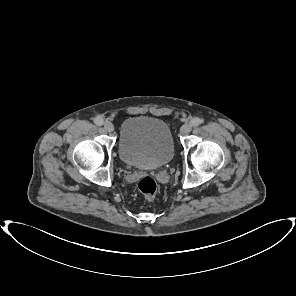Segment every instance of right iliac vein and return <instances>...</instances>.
Returning <instances> with one entry per match:
<instances>
[{
  "instance_id": "63e3f726",
  "label": "right iliac vein",
  "mask_w": 296,
  "mask_h": 296,
  "mask_svg": "<svg viewBox=\"0 0 296 296\" xmlns=\"http://www.w3.org/2000/svg\"><path fill=\"white\" fill-rule=\"evenodd\" d=\"M104 128H105V130L108 131V132H112V131L114 130V126H113V124H112L111 122H109V121H106V122L104 123Z\"/></svg>"
}]
</instances>
